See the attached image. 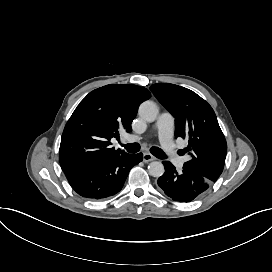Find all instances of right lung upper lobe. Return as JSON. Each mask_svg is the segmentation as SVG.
<instances>
[{
    "label": "right lung upper lobe",
    "instance_id": "right-lung-upper-lobe-1",
    "mask_svg": "<svg viewBox=\"0 0 272 272\" xmlns=\"http://www.w3.org/2000/svg\"><path fill=\"white\" fill-rule=\"evenodd\" d=\"M151 97L137 85L110 84L90 92L68 120L59 150L64 173L124 153L112 148L110 139L120 130L131 131L139 105Z\"/></svg>",
    "mask_w": 272,
    "mask_h": 272
}]
</instances>
